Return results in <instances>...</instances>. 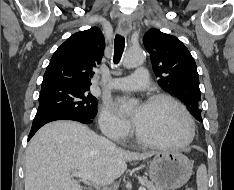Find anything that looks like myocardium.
Here are the masks:
<instances>
[{"label": "myocardium", "instance_id": "obj_1", "mask_svg": "<svg viewBox=\"0 0 234 190\" xmlns=\"http://www.w3.org/2000/svg\"><path fill=\"white\" fill-rule=\"evenodd\" d=\"M159 101H167L171 104H173L174 106H176L181 113L184 115L187 125H188V134L187 137L179 142H162V141H156V140H152L147 138L146 136H144L142 134V132L140 131V129L138 128L137 124L134 123V132H135V136L136 139L146 145V146H150V147H158V148H183L188 146L189 144L192 143L194 137H195V124L193 121V118L191 116V114L189 113V111L187 110V108L179 101L177 100L175 97L169 95V94H165V93H160V94H155L153 96H151L148 100H147V104H152V103H156Z\"/></svg>", "mask_w": 234, "mask_h": 190}]
</instances>
